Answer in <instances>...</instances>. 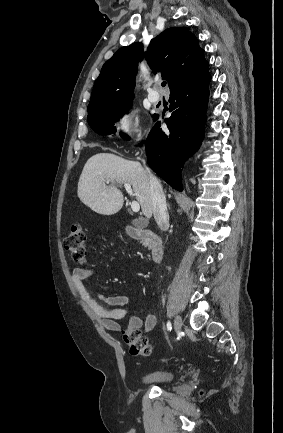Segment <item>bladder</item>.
<instances>
[{"label": "bladder", "mask_w": 283, "mask_h": 433, "mask_svg": "<svg viewBox=\"0 0 283 433\" xmlns=\"http://www.w3.org/2000/svg\"><path fill=\"white\" fill-rule=\"evenodd\" d=\"M174 377V372L173 371H165L162 372L156 376H150L145 378V382L146 383H161V384H167L170 383L172 381Z\"/></svg>", "instance_id": "1"}]
</instances>
